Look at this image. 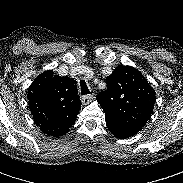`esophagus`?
<instances>
[{
	"instance_id": "esophagus-1",
	"label": "esophagus",
	"mask_w": 183,
	"mask_h": 183,
	"mask_svg": "<svg viewBox=\"0 0 183 183\" xmlns=\"http://www.w3.org/2000/svg\"><path fill=\"white\" fill-rule=\"evenodd\" d=\"M93 99H94L93 94H88V95H83L81 101H82L83 104H88V103H90Z\"/></svg>"
}]
</instances>
